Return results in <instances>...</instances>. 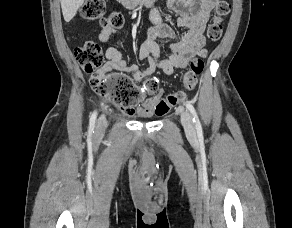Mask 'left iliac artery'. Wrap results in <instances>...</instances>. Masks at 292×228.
I'll list each match as a JSON object with an SVG mask.
<instances>
[{"label":"left iliac artery","instance_id":"1","mask_svg":"<svg viewBox=\"0 0 292 228\" xmlns=\"http://www.w3.org/2000/svg\"><path fill=\"white\" fill-rule=\"evenodd\" d=\"M185 106L190 111L191 115L193 116V122L195 124L197 134L199 137H201L203 135L202 126H201V123L199 121V118L194 106L191 104V102H186Z\"/></svg>","mask_w":292,"mask_h":228}]
</instances>
